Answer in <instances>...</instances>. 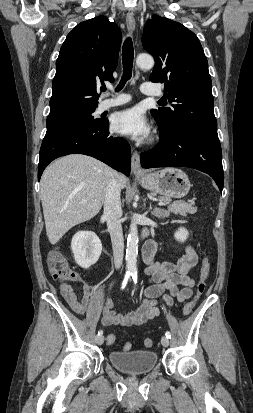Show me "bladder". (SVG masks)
<instances>
[{"label": "bladder", "instance_id": "31cf9c89", "mask_svg": "<svg viewBox=\"0 0 253 413\" xmlns=\"http://www.w3.org/2000/svg\"><path fill=\"white\" fill-rule=\"evenodd\" d=\"M109 362L116 369L132 375L146 374L152 371L158 362L157 353L152 350H132L127 352L112 351Z\"/></svg>", "mask_w": 253, "mask_h": 413}]
</instances>
